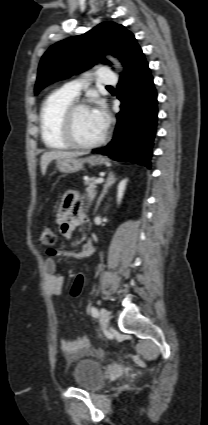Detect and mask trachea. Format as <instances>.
I'll use <instances>...</instances> for the list:
<instances>
[{"mask_svg":"<svg viewBox=\"0 0 208 425\" xmlns=\"http://www.w3.org/2000/svg\"><path fill=\"white\" fill-rule=\"evenodd\" d=\"M107 88H112L111 86H107Z\"/></svg>","mask_w":208,"mask_h":425,"instance_id":"trachea-1","label":"trachea"}]
</instances>
